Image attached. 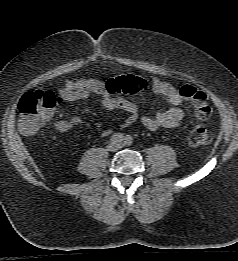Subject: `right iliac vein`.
I'll return each mask as SVG.
<instances>
[{
	"mask_svg": "<svg viewBox=\"0 0 238 261\" xmlns=\"http://www.w3.org/2000/svg\"><path fill=\"white\" fill-rule=\"evenodd\" d=\"M107 149L109 151H116L117 150V146L115 144L111 143V144L108 145Z\"/></svg>",
	"mask_w": 238,
	"mask_h": 261,
	"instance_id": "right-iliac-vein-1",
	"label": "right iliac vein"
}]
</instances>
